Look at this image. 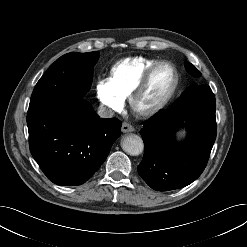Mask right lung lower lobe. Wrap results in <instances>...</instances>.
I'll return each instance as SVG.
<instances>
[{
    "label": "right lung lower lobe",
    "mask_w": 247,
    "mask_h": 247,
    "mask_svg": "<svg viewBox=\"0 0 247 247\" xmlns=\"http://www.w3.org/2000/svg\"><path fill=\"white\" fill-rule=\"evenodd\" d=\"M30 151L57 185L86 182L107 158L122 123L100 118L83 98H51L29 105Z\"/></svg>",
    "instance_id": "right-lung-lower-lobe-1"
}]
</instances>
